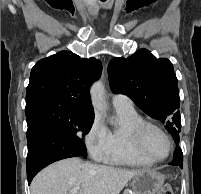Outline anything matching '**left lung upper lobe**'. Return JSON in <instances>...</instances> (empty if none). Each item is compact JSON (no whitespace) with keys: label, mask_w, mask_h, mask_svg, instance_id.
<instances>
[{"label":"left lung upper lobe","mask_w":201,"mask_h":194,"mask_svg":"<svg viewBox=\"0 0 201 194\" xmlns=\"http://www.w3.org/2000/svg\"><path fill=\"white\" fill-rule=\"evenodd\" d=\"M108 75L114 93L127 95L146 114L164 123L173 138L179 136L178 80L168 59H157L140 49L128 58L112 59Z\"/></svg>","instance_id":"1"}]
</instances>
